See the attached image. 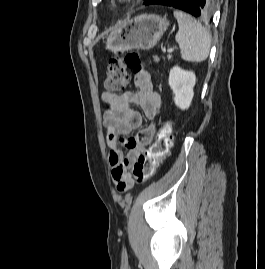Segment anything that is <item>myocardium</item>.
Listing matches in <instances>:
<instances>
[{
	"label": "myocardium",
	"instance_id": "myocardium-1",
	"mask_svg": "<svg viewBox=\"0 0 265 269\" xmlns=\"http://www.w3.org/2000/svg\"><path fill=\"white\" fill-rule=\"evenodd\" d=\"M118 6H128L133 0H114Z\"/></svg>",
	"mask_w": 265,
	"mask_h": 269
}]
</instances>
